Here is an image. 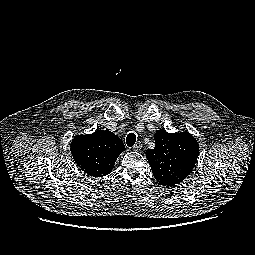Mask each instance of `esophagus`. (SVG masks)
Listing matches in <instances>:
<instances>
[{"label":"esophagus","mask_w":255,"mask_h":255,"mask_svg":"<svg viewBox=\"0 0 255 255\" xmlns=\"http://www.w3.org/2000/svg\"><path fill=\"white\" fill-rule=\"evenodd\" d=\"M142 148V143L140 141H138L134 146H133V150L134 151H140Z\"/></svg>","instance_id":"1"}]
</instances>
